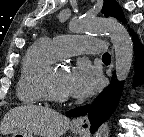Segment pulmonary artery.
<instances>
[{"mask_svg": "<svg viewBox=\"0 0 144 137\" xmlns=\"http://www.w3.org/2000/svg\"><path fill=\"white\" fill-rule=\"evenodd\" d=\"M52 43L59 57L80 53H101L106 47L102 40L75 35H62L53 38Z\"/></svg>", "mask_w": 144, "mask_h": 137, "instance_id": "e3ab8cb5", "label": "pulmonary artery"}]
</instances>
